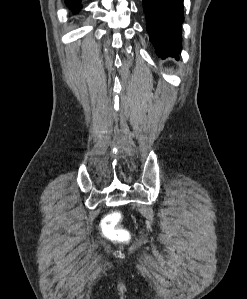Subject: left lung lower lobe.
I'll return each mask as SVG.
<instances>
[{"label": "left lung lower lobe", "mask_w": 247, "mask_h": 299, "mask_svg": "<svg viewBox=\"0 0 247 299\" xmlns=\"http://www.w3.org/2000/svg\"><path fill=\"white\" fill-rule=\"evenodd\" d=\"M143 7L150 40L158 56L177 57L181 52L183 0H143Z\"/></svg>", "instance_id": "1"}]
</instances>
